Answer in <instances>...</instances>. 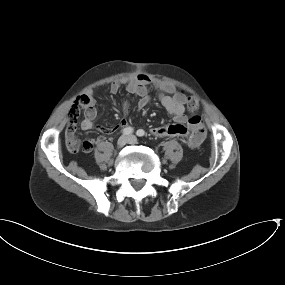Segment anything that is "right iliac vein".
Returning a JSON list of instances; mask_svg holds the SVG:
<instances>
[{
	"instance_id": "1",
	"label": "right iliac vein",
	"mask_w": 285,
	"mask_h": 285,
	"mask_svg": "<svg viewBox=\"0 0 285 285\" xmlns=\"http://www.w3.org/2000/svg\"><path fill=\"white\" fill-rule=\"evenodd\" d=\"M128 143V137L127 136H121L117 141V147L122 148Z\"/></svg>"
}]
</instances>
